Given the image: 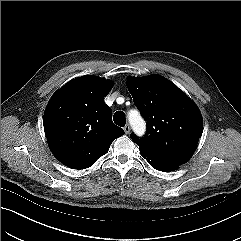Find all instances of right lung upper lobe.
Segmentation results:
<instances>
[{
    "label": "right lung upper lobe",
    "instance_id": "cb5924a9",
    "mask_svg": "<svg viewBox=\"0 0 241 241\" xmlns=\"http://www.w3.org/2000/svg\"><path fill=\"white\" fill-rule=\"evenodd\" d=\"M112 86L109 80L82 76L66 83L50 99L44 131L51 151L66 166H92L124 134L113 124L111 109L104 103Z\"/></svg>",
    "mask_w": 241,
    "mask_h": 241
}]
</instances>
